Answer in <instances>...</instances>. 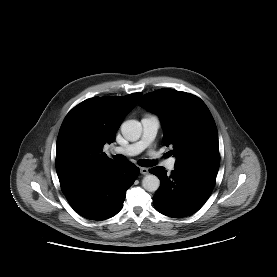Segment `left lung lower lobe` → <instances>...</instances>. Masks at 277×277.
Returning a JSON list of instances; mask_svg holds the SVG:
<instances>
[{"label":"left lung lower lobe","instance_id":"0a47b994","mask_svg":"<svg viewBox=\"0 0 277 277\" xmlns=\"http://www.w3.org/2000/svg\"><path fill=\"white\" fill-rule=\"evenodd\" d=\"M150 172L156 175L161 186L153 197V204L160 213L180 218L198 211L209 198L218 169L175 168L170 176L163 167H154Z\"/></svg>","mask_w":277,"mask_h":277}]
</instances>
